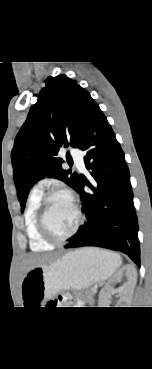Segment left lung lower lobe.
I'll return each mask as SVG.
<instances>
[{
    "label": "left lung lower lobe",
    "instance_id": "1",
    "mask_svg": "<svg viewBox=\"0 0 152 369\" xmlns=\"http://www.w3.org/2000/svg\"><path fill=\"white\" fill-rule=\"evenodd\" d=\"M79 149L92 178H79L84 225L65 248L97 246L121 251L140 266L138 220L124 153L106 117L98 107ZM87 185L91 191L85 192Z\"/></svg>",
    "mask_w": 152,
    "mask_h": 369
}]
</instances>
